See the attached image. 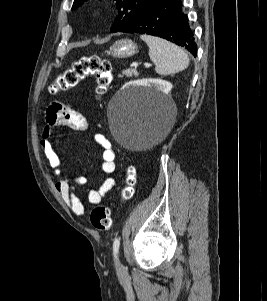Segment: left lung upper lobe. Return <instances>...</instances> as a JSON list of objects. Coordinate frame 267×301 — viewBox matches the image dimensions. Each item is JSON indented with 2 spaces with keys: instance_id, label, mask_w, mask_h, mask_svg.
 I'll return each mask as SVG.
<instances>
[{
  "instance_id": "obj_1",
  "label": "left lung upper lobe",
  "mask_w": 267,
  "mask_h": 301,
  "mask_svg": "<svg viewBox=\"0 0 267 301\" xmlns=\"http://www.w3.org/2000/svg\"><path fill=\"white\" fill-rule=\"evenodd\" d=\"M87 0H74L72 9H76ZM118 9V16L111 28L117 32L121 27L133 21L153 0H114Z\"/></svg>"
}]
</instances>
